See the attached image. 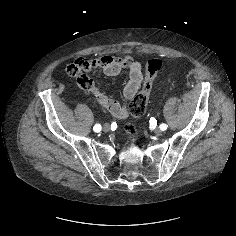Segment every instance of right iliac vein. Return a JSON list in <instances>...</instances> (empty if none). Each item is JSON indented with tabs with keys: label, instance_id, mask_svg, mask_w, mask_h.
<instances>
[{
	"label": "right iliac vein",
	"instance_id": "1",
	"mask_svg": "<svg viewBox=\"0 0 236 236\" xmlns=\"http://www.w3.org/2000/svg\"><path fill=\"white\" fill-rule=\"evenodd\" d=\"M103 130H104L105 132L110 131V125H109L108 123H105V124L103 125Z\"/></svg>",
	"mask_w": 236,
	"mask_h": 236
}]
</instances>
